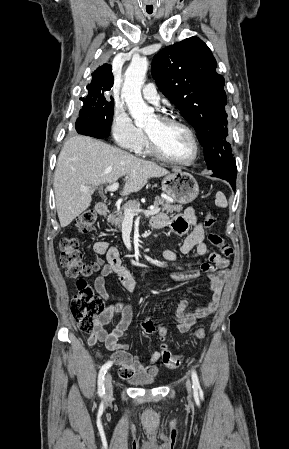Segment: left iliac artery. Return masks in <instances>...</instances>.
Here are the masks:
<instances>
[{
	"label": "left iliac artery",
	"instance_id": "left-iliac-artery-1",
	"mask_svg": "<svg viewBox=\"0 0 289 449\" xmlns=\"http://www.w3.org/2000/svg\"><path fill=\"white\" fill-rule=\"evenodd\" d=\"M191 376H192V382H193V389H194V391L200 390L199 379H198L197 373H196V371L194 369H192Z\"/></svg>",
	"mask_w": 289,
	"mask_h": 449
}]
</instances>
